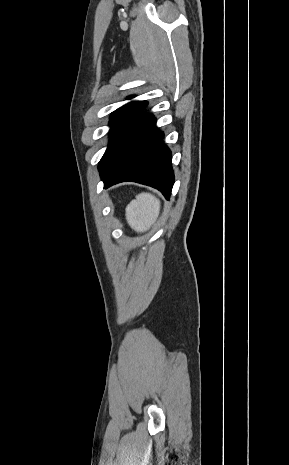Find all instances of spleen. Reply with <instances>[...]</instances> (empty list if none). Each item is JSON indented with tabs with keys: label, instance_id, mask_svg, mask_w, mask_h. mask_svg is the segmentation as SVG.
Listing matches in <instances>:
<instances>
[{
	"label": "spleen",
	"instance_id": "3e777b00",
	"mask_svg": "<svg viewBox=\"0 0 289 465\" xmlns=\"http://www.w3.org/2000/svg\"><path fill=\"white\" fill-rule=\"evenodd\" d=\"M160 213V200L150 193H141L125 209L129 226L137 233L147 231Z\"/></svg>",
	"mask_w": 289,
	"mask_h": 465
}]
</instances>
